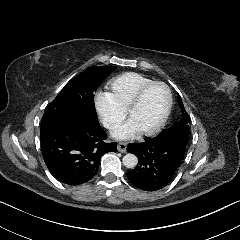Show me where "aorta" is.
<instances>
[{"label":"aorta","mask_w":240,"mask_h":240,"mask_svg":"<svg viewBox=\"0 0 240 240\" xmlns=\"http://www.w3.org/2000/svg\"><path fill=\"white\" fill-rule=\"evenodd\" d=\"M138 163L136 155L129 153L123 157V165L127 168H134Z\"/></svg>","instance_id":"obj_1"}]
</instances>
